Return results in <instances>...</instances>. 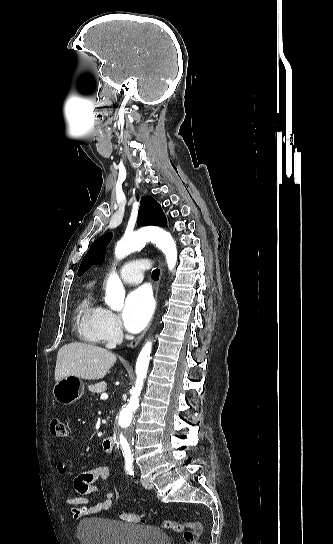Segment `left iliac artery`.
<instances>
[{
  "label": "left iliac artery",
  "instance_id": "44dca946",
  "mask_svg": "<svg viewBox=\"0 0 333 544\" xmlns=\"http://www.w3.org/2000/svg\"><path fill=\"white\" fill-rule=\"evenodd\" d=\"M125 470H126V472H127L130 476H134V471H133L132 462H126V464H125Z\"/></svg>",
  "mask_w": 333,
  "mask_h": 544
}]
</instances>
